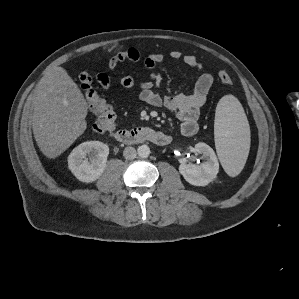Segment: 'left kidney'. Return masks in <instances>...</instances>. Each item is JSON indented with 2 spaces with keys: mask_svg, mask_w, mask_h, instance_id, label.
Segmentation results:
<instances>
[{
  "mask_svg": "<svg viewBox=\"0 0 299 299\" xmlns=\"http://www.w3.org/2000/svg\"><path fill=\"white\" fill-rule=\"evenodd\" d=\"M194 149L198 154H202L206 161L197 165L182 162L179 172L188 183L194 186H206L216 178L219 162L214 150L209 145L200 142L195 145Z\"/></svg>",
  "mask_w": 299,
  "mask_h": 299,
  "instance_id": "5707ae66",
  "label": "left kidney"
}]
</instances>
